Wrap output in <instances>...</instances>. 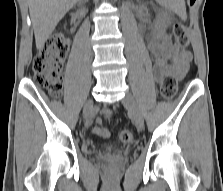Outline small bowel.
<instances>
[{"instance_id": "c3829d8e", "label": "small bowel", "mask_w": 223, "mask_h": 191, "mask_svg": "<svg viewBox=\"0 0 223 191\" xmlns=\"http://www.w3.org/2000/svg\"><path fill=\"white\" fill-rule=\"evenodd\" d=\"M149 50L153 55L154 75L157 80L169 73H174L179 78L186 74L192 58L190 51L181 49L167 37L152 38L149 42ZM110 114L108 109L102 111L105 117ZM98 121L100 122L101 119Z\"/></svg>"}]
</instances>
